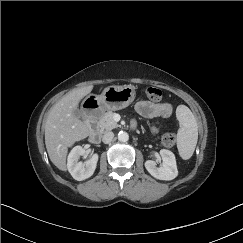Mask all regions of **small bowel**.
Wrapping results in <instances>:
<instances>
[{"instance_id":"small-bowel-1","label":"small bowel","mask_w":243,"mask_h":243,"mask_svg":"<svg viewBox=\"0 0 243 243\" xmlns=\"http://www.w3.org/2000/svg\"><path fill=\"white\" fill-rule=\"evenodd\" d=\"M137 113L144 118H170L173 113V107L170 103H154L150 101H139L136 104ZM156 130V128H153Z\"/></svg>"}]
</instances>
